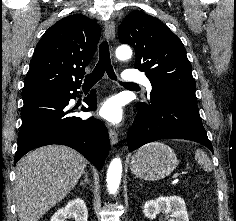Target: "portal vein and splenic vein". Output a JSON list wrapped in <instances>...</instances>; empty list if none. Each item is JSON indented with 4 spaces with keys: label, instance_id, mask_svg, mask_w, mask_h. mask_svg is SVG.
<instances>
[{
    "label": "portal vein and splenic vein",
    "instance_id": "portal-vein-and-splenic-vein-1",
    "mask_svg": "<svg viewBox=\"0 0 236 221\" xmlns=\"http://www.w3.org/2000/svg\"><path fill=\"white\" fill-rule=\"evenodd\" d=\"M178 176H179V174H175V175L173 176L174 181L178 180Z\"/></svg>",
    "mask_w": 236,
    "mask_h": 221
}]
</instances>
